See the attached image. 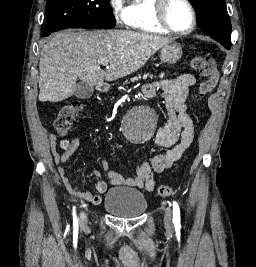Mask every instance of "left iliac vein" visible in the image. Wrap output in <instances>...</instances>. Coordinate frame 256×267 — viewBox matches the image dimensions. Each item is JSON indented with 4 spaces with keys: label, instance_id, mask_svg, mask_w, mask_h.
I'll return each mask as SVG.
<instances>
[{
    "label": "left iliac vein",
    "instance_id": "obj_1",
    "mask_svg": "<svg viewBox=\"0 0 256 267\" xmlns=\"http://www.w3.org/2000/svg\"><path fill=\"white\" fill-rule=\"evenodd\" d=\"M164 224L167 229L173 228V222H172V210L166 209L165 215H164Z\"/></svg>",
    "mask_w": 256,
    "mask_h": 267
}]
</instances>
